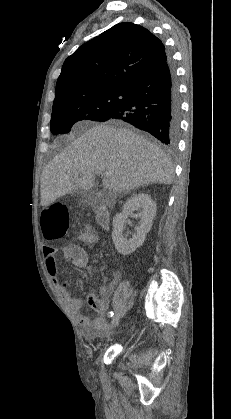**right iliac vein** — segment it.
I'll return each instance as SVG.
<instances>
[{
    "mask_svg": "<svg viewBox=\"0 0 231 419\" xmlns=\"http://www.w3.org/2000/svg\"><path fill=\"white\" fill-rule=\"evenodd\" d=\"M120 321V315H115L110 322V329H114Z\"/></svg>",
    "mask_w": 231,
    "mask_h": 419,
    "instance_id": "63e3f726",
    "label": "right iliac vein"
}]
</instances>
